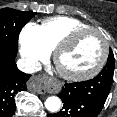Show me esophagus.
<instances>
[{
	"mask_svg": "<svg viewBox=\"0 0 117 117\" xmlns=\"http://www.w3.org/2000/svg\"><path fill=\"white\" fill-rule=\"evenodd\" d=\"M30 87L39 94H44L46 92L52 93L59 90L58 84L45 75H38L33 77L30 83Z\"/></svg>",
	"mask_w": 117,
	"mask_h": 117,
	"instance_id": "34e87169",
	"label": "esophagus"
}]
</instances>
